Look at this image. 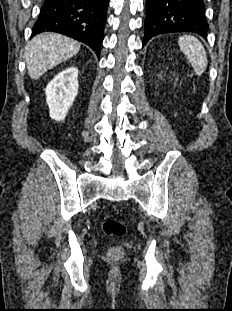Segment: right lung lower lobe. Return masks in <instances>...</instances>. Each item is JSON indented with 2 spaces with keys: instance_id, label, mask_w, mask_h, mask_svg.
Masks as SVG:
<instances>
[{
  "instance_id": "98d812e1",
  "label": "right lung lower lobe",
  "mask_w": 232,
  "mask_h": 311,
  "mask_svg": "<svg viewBox=\"0 0 232 311\" xmlns=\"http://www.w3.org/2000/svg\"><path fill=\"white\" fill-rule=\"evenodd\" d=\"M109 0H45L32 35L58 32L91 47L100 55Z\"/></svg>"
}]
</instances>
